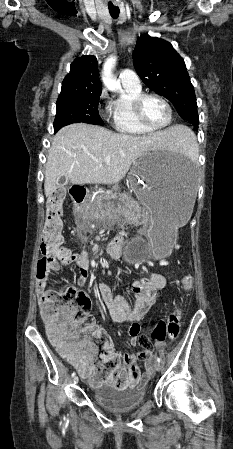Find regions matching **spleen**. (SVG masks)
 Here are the masks:
<instances>
[{
  "mask_svg": "<svg viewBox=\"0 0 233 449\" xmlns=\"http://www.w3.org/2000/svg\"><path fill=\"white\" fill-rule=\"evenodd\" d=\"M183 125V124H182ZM174 150L179 153H185V154H194L198 151V147L195 141V137L193 133L186 128V134H184L183 139H181V142H178L174 145Z\"/></svg>",
  "mask_w": 233,
  "mask_h": 449,
  "instance_id": "obj_1",
  "label": "spleen"
}]
</instances>
